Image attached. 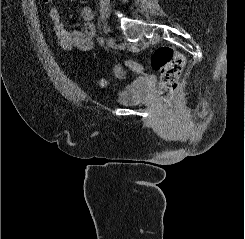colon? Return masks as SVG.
Segmentation results:
<instances>
[{"label": "colon", "mask_w": 245, "mask_h": 239, "mask_svg": "<svg viewBox=\"0 0 245 239\" xmlns=\"http://www.w3.org/2000/svg\"><path fill=\"white\" fill-rule=\"evenodd\" d=\"M49 4L52 0H41ZM185 66L184 56L168 45H161L155 49L152 55V67L160 73L159 91L162 99L169 102L175 93L179 79ZM113 75L117 79L124 78V70L121 66L114 67ZM101 88H106L109 84L107 79H100L97 82Z\"/></svg>", "instance_id": "colon-1"}]
</instances>
